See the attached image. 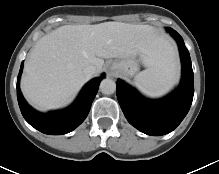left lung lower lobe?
<instances>
[{
    "label": "left lung lower lobe",
    "mask_w": 219,
    "mask_h": 174,
    "mask_svg": "<svg viewBox=\"0 0 219 174\" xmlns=\"http://www.w3.org/2000/svg\"><path fill=\"white\" fill-rule=\"evenodd\" d=\"M182 61V80L178 89L161 100H147L122 80L116 82L117 98L130 124L141 132L160 136L173 131L187 115L194 95V76L189 51L183 38L173 29Z\"/></svg>",
    "instance_id": "obj_1"
}]
</instances>
